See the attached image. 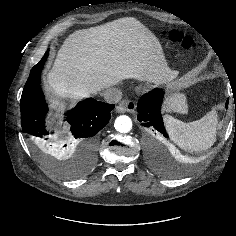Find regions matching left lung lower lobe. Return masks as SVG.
Instances as JSON below:
<instances>
[{"label":"left lung lower lobe","mask_w":236,"mask_h":236,"mask_svg":"<svg viewBox=\"0 0 236 236\" xmlns=\"http://www.w3.org/2000/svg\"><path fill=\"white\" fill-rule=\"evenodd\" d=\"M163 98L164 91L159 88H155L144 94L138 101L137 118L142 123V126L150 128L152 133H161L164 137L168 138L160 112ZM227 107L228 102L226 103V108Z\"/></svg>","instance_id":"1"}]
</instances>
